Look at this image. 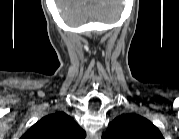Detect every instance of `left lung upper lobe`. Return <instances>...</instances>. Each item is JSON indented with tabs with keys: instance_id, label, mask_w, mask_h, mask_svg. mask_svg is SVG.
I'll return each mask as SVG.
<instances>
[{
	"instance_id": "5c2ea615",
	"label": "left lung upper lobe",
	"mask_w": 179,
	"mask_h": 139,
	"mask_svg": "<svg viewBox=\"0 0 179 139\" xmlns=\"http://www.w3.org/2000/svg\"><path fill=\"white\" fill-rule=\"evenodd\" d=\"M109 139H163L162 134L146 118L137 114H124L109 123L104 134Z\"/></svg>"
}]
</instances>
